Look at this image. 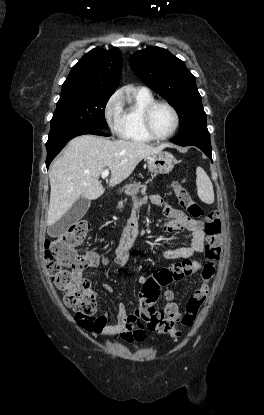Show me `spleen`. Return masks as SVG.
<instances>
[{
    "mask_svg": "<svg viewBox=\"0 0 264 415\" xmlns=\"http://www.w3.org/2000/svg\"><path fill=\"white\" fill-rule=\"evenodd\" d=\"M196 185L199 198L206 204L214 202L213 185L202 167L196 169Z\"/></svg>",
    "mask_w": 264,
    "mask_h": 415,
    "instance_id": "obj_1",
    "label": "spleen"
}]
</instances>
